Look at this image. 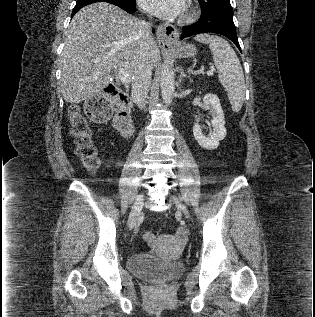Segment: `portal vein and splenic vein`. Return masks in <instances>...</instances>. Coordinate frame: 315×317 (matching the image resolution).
I'll list each match as a JSON object with an SVG mask.
<instances>
[{
    "mask_svg": "<svg viewBox=\"0 0 315 317\" xmlns=\"http://www.w3.org/2000/svg\"><path fill=\"white\" fill-rule=\"evenodd\" d=\"M213 73H214V69H210V70L207 71V75L208 76H212ZM118 77L123 83H128L129 82L128 74H126L125 71L122 68H120L118 70Z\"/></svg>",
    "mask_w": 315,
    "mask_h": 317,
    "instance_id": "obj_1",
    "label": "portal vein and splenic vein"
}]
</instances>
